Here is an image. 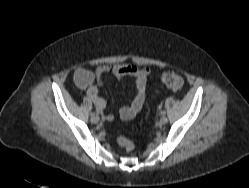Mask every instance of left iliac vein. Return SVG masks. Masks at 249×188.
Segmentation results:
<instances>
[{
    "label": "left iliac vein",
    "instance_id": "obj_1",
    "mask_svg": "<svg viewBox=\"0 0 249 188\" xmlns=\"http://www.w3.org/2000/svg\"><path fill=\"white\" fill-rule=\"evenodd\" d=\"M167 122H168L167 117L163 115V116L161 117V119H160V123H161L162 125H164V124H166Z\"/></svg>",
    "mask_w": 249,
    "mask_h": 188
}]
</instances>
